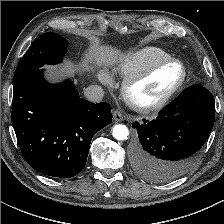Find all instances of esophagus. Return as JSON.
<instances>
[{
  "label": "esophagus",
  "mask_w": 224,
  "mask_h": 224,
  "mask_svg": "<svg viewBox=\"0 0 224 224\" xmlns=\"http://www.w3.org/2000/svg\"><path fill=\"white\" fill-rule=\"evenodd\" d=\"M113 117L116 122H121L123 120V116L119 111H114Z\"/></svg>",
  "instance_id": "obj_1"
}]
</instances>
